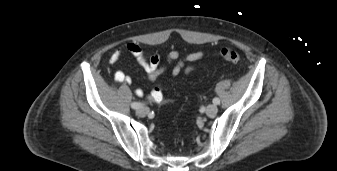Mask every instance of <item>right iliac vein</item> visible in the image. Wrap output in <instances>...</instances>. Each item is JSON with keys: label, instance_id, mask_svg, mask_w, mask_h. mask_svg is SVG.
I'll list each match as a JSON object with an SVG mask.
<instances>
[{"label": "right iliac vein", "instance_id": "63e3f726", "mask_svg": "<svg viewBox=\"0 0 337 171\" xmlns=\"http://www.w3.org/2000/svg\"><path fill=\"white\" fill-rule=\"evenodd\" d=\"M148 113H149V108H148V107H145V106L140 107V108L137 110V112H136V114H137L139 117H144V116H146Z\"/></svg>", "mask_w": 337, "mask_h": 171}]
</instances>
